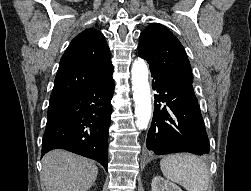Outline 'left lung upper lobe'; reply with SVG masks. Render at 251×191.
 <instances>
[{"instance_id":"left-lung-upper-lobe-1","label":"left lung upper lobe","mask_w":251,"mask_h":191,"mask_svg":"<svg viewBox=\"0 0 251 191\" xmlns=\"http://www.w3.org/2000/svg\"><path fill=\"white\" fill-rule=\"evenodd\" d=\"M138 55L151 69L181 83L192 84L193 74L185 49L165 26L151 23L141 33Z\"/></svg>"}]
</instances>
